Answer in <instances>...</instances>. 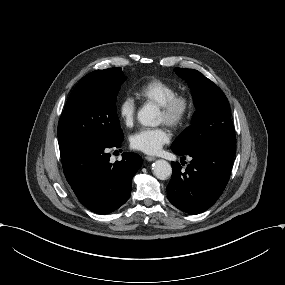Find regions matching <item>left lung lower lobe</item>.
<instances>
[{
  "mask_svg": "<svg viewBox=\"0 0 285 285\" xmlns=\"http://www.w3.org/2000/svg\"><path fill=\"white\" fill-rule=\"evenodd\" d=\"M234 152L235 140H219L186 154L192 160L185 171H181L178 162H172V178L167 186L169 201L189 214L210 208L228 183Z\"/></svg>",
  "mask_w": 285,
  "mask_h": 285,
  "instance_id": "obj_1",
  "label": "left lung lower lobe"
}]
</instances>
